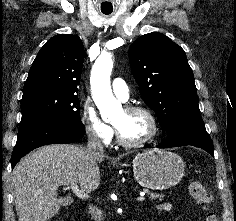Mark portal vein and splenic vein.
<instances>
[{"mask_svg":"<svg viewBox=\"0 0 236 221\" xmlns=\"http://www.w3.org/2000/svg\"><path fill=\"white\" fill-rule=\"evenodd\" d=\"M72 192L80 199H87L88 198V194L86 192H84L83 190H80L78 188L77 184H71L70 186ZM145 200V197L141 196L137 198V201H143Z\"/></svg>","mask_w":236,"mask_h":221,"instance_id":"obj_1","label":"portal vein and splenic vein"}]
</instances>
